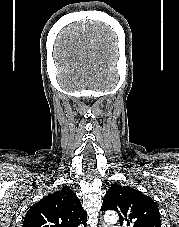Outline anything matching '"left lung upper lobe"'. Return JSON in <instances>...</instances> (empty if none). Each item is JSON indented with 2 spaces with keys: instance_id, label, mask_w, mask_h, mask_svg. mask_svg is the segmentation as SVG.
<instances>
[{
  "instance_id": "5c2ea615",
  "label": "left lung upper lobe",
  "mask_w": 179,
  "mask_h": 227,
  "mask_svg": "<svg viewBox=\"0 0 179 227\" xmlns=\"http://www.w3.org/2000/svg\"><path fill=\"white\" fill-rule=\"evenodd\" d=\"M102 211L115 210L119 222L131 227H161L156 203L140 191L127 186L113 184L106 192Z\"/></svg>"
}]
</instances>
